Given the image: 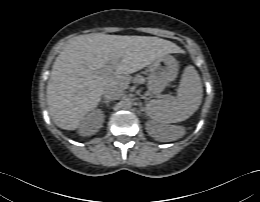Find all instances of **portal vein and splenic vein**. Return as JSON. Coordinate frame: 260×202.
Returning a JSON list of instances; mask_svg holds the SVG:
<instances>
[{
	"label": "portal vein and splenic vein",
	"mask_w": 260,
	"mask_h": 202,
	"mask_svg": "<svg viewBox=\"0 0 260 202\" xmlns=\"http://www.w3.org/2000/svg\"><path fill=\"white\" fill-rule=\"evenodd\" d=\"M115 67V62L110 63L105 68H103L99 73L104 76H112L113 69Z\"/></svg>",
	"instance_id": "18ae733b"
}]
</instances>
